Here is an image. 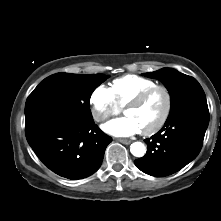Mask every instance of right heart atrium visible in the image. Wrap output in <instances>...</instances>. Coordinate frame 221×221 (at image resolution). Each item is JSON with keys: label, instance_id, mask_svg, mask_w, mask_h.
Returning <instances> with one entry per match:
<instances>
[{"label": "right heart atrium", "instance_id": "d8ad5b80", "mask_svg": "<svg viewBox=\"0 0 221 221\" xmlns=\"http://www.w3.org/2000/svg\"><path fill=\"white\" fill-rule=\"evenodd\" d=\"M90 106L94 120L99 123L121 112L111 88L104 84L98 85L91 93Z\"/></svg>", "mask_w": 221, "mask_h": 221}]
</instances>
